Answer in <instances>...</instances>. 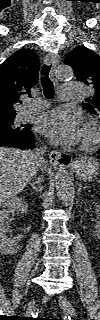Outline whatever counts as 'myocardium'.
<instances>
[{
  "label": "myocardium",
  "mask_w": 100,
  "mask_h": 320,
  "mask_svg": "<svg viewBox=\"0 0 100 320\" xmlns=\"http://www.w3.org/2000/svg\"><path fill=\"white\" fill-rule=\"evenodd\" d=\"M87 132V137L82 140L80 144V149L89 150L93 148L100 140V133L96 123L88 121L85 123L84 128Z\"/></svg>",
  "instance_id": "1"
}]
</instances>
